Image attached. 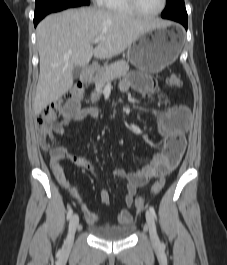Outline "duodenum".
<instances>
[{"label": "duodenum", "mask_w": 227, "mask_h": 265, "mask_svg": "<svg viewBox=\"0 0 227 265\" xmlns=\"http://www.w3.org/2000/svg\"><path fill=\"white\" fill-rule=\"evenodd\" d=\"M94 72H95V67L93 65L85 67L81 75V80L86 84L91 83L93 81Z\"/></svg>", "instance_id": "obj_1"}]
</instances>
